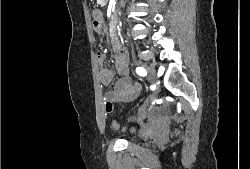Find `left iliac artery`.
I'll use <instances>...</instances> for the list:
<instances>
[{
  "label": "left iliac artery",
  "instance_id": "44dca946",
  "mask_svg": "<svg viewBox=\"0 0 250 169\" xmlns=\"http://www.w3.org/2000/svg\"><path fill=\"white\" fill-rule=\"evenodd\" d=\"M136 73L140 76H143V77L147 75V72L143 67H137Z\"/></svg>",
  "mask_w": 250,
  "mask_h": 169
}]
</instances>
